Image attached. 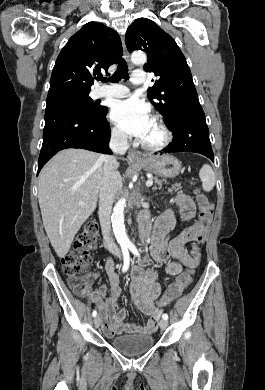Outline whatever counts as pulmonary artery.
<instances>
[{"label":"pulmonary artery","instance_id":"e3ab8cb5","mask_svg":"<svg viewBox=\"0 0 265 390\" xmlns=\"http://www.w3.org/2000/svg\"><path fill=\"white\" fill-rule=\"evenodd\" d=\"M131 83L141 85L145 83V73L143 71H134L131 78ZM129 94V89L124 85L113 84L106 85L96 90L98 98H123Z\"/></svg>","mask_w":265,"mask_h":390}]
</instances>
